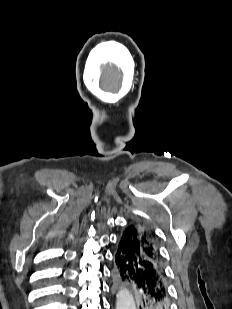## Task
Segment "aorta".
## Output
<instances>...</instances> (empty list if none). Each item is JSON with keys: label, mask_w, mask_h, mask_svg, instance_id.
Wrapping results in <instances>:
<instances>
[{"label": "aorta", "mask_w": 232, "mask_h": 309, "mask_svg": "<svg viewBox=\"0 0 232 309\" xmlns=\"http://www.w3.org/2000/svg\"><path fill=\"white\" fill-rule=\"evenodd\" d=\"M116 297V309H136L134 298L127 289H121Z\"/></svg>", "instance_id": "1"}]
</instances>
